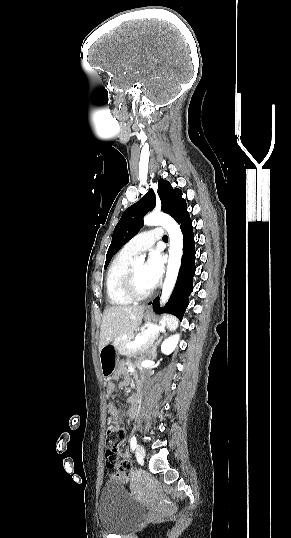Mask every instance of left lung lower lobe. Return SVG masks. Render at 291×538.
Instances as JSON below:
<instances>
[{
  "instance_id": "left-lung-lower-lobe-1",
  "label": "left lung lower lobe",
  "mask_w": 291,
  "mask_h": 538,
  "mask_svg": "<svg viewBox=\"0 0 291 538\" xmlns=\"http://www.w3.org/2000/svg\"><path fill=\"white\" fill-rule=\"evenodd\" d=\"M177 223L183 233V255L178 279L172 295L164 308L159 307V298L153 303V309L157 313H170L182 319L188 306V297L193 288L192 281L195 275V247L192 221L189 213H185Z\"/></svg>"
}]
</instances>
